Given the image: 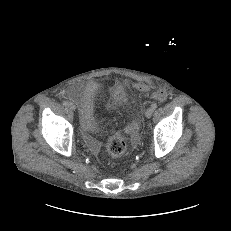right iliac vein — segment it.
Segmentation results:
<instances>
[{
    "mask_svg": "<svg viewBox=\"0 0 231 231\" xmlns=\"http://www.w3.org/2000/svg\"><path fill=\"white\" fill-rule=\"evenodd\" d=\"M67 106H68V108H69L70 110H72V111H74V110L76 109L75 104L72 103V102H69Z\"/></svg>",
    "mask_w": 231,
    "mask_h": 231,
    "instance_id": "obj_1",
    "label": "right iliac vein"
}]
</instances>
